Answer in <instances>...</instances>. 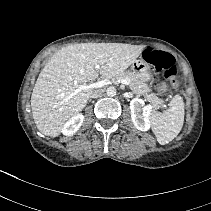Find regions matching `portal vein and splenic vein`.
Instances as JSON below:
<instances>
[{"mask_svg":"<svg viewBox=\"0 0 211 211\" xmlns=\"http://www.w3.org/2000/svg\"><path fill=\"white\" fill-rule=\"evenodd\" d=\"M119 82L124 84V85H129V82L127 80H124V79L120 80ZM107 84H109V81L101 80V81H98V82L91 83L90 85H87V84L77 85L76 86L77 87L76 93L79 92V91H82V90L101 88V87H103Z\"/></svg>","mask_w":211,"mask_h":211,"instance_id":"18ae733b","label":"portal vein and splenic vein"}]
</instances>
